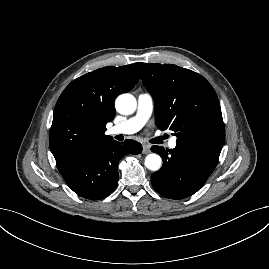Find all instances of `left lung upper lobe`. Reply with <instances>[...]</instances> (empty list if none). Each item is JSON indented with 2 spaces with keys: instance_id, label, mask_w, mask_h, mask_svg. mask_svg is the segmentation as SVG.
<instances>
[{
  "instance_id": "1",
  "label": "left lung upper lobe",
  "mask_w": 269,
  "mask_h": 269,
  "mask_svg": "<svg viewBox=\"0 0 269 269\" xmlns=\"http://www.w3.org/2000/svg\"><path fill=\"white\" fill-rule=\"evenodd\" d=\"M141 79L154 99L156 125L177 141L224 144L225 128L217 95L200 74L171 64H144Z\"/></svg>"
}]
</instances>
